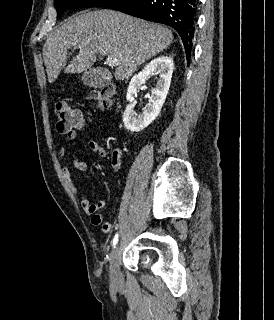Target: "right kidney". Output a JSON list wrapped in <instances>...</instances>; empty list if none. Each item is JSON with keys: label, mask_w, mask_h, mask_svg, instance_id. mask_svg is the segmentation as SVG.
Here are the masks:
<instances>
[{"label": "right kidney", "mask_w": 274, "mask_h": 320, "mask_svg": "<svg viewBox=\"0 0 274 320\" xmlns=\"http://www.w3.org/2000/svg\"><path fill=\"white\" fill-rule=\"evenodd\" d=\"M173 68L174 64L170 56H159V58L151 60V62L143 68L142 72L135 74V76L131 78L126 94L129 104L123 114L124 128H126L128 132H141V130L147 128V126L159 116L169 92ZM154 74H159L160 76L157 86L151 90L149 102L145 108H143L142 114H136L134 108L136 106L135 96L138 88H140L142 84H145L149 76H154Z\"/></svg>", "instance_id": "1"}]
</instances>
